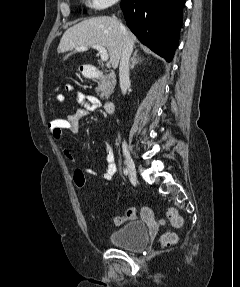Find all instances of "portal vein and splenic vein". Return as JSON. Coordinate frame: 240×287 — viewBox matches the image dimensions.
<instances>
[{
  "mask_svg": "<svg viewBox=\"0 0 240 287\" xmlns=\"http://www.w3.org/2000/svg\"><path fill=\"white\" fill-rule=\"evenodd\" d=\"M93 49H96L99 54H100V58L102 61L106 62L108 61V53H107V50L105 49V47H103L102 45H99V44H94L91 46ZM88 49L87 46H82V47H79V48H76L77 51H86Z\"/></svg>",
  "mask_w": 240,
  "mask_h": 287,
  "instance_id": "obj_1",
  "label": "portal vein and splenic vein"
}]
</instances>
